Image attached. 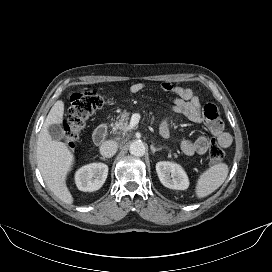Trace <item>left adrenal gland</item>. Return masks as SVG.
I'll return each mask as SVG.
<instances>
[{
    "mask_svg": "<svg viewBox=\"0 0 272 272\" xmlns=\"http://www.w3.org/2000/svg\"><path fill=\"white\" fill-rule=\"evenodd\" d=\"M150 148H151V151H152L153 154H154L155 152H157V151L162 150V147L155 148L153 145H151Z\"/></svg>",
    "mask_w": 272,
    "mask_h": 272,
    "instance_id": "left-adrenal-gland-1",
    "label": "left adrenal gland"
}]
</instances>
